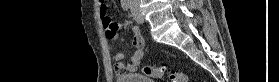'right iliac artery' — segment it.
I'll return each mask as SVG.
<instances>
[{
    "label": "right iliac artery",
    "instance_id": "obj_1",
    "mask_svg": "<svg viewBox=\"0 0 279 82\" xmlns=\"http://www.w3.org/2000/svg\"><path fill=\"white\" fill-rule=\"evenodd\" d=\"M121 6L124 10H128L131 7V0H121Z\"/></svg>",
    "mask_w": 279,
    "mask_h": 82
}]
</instances>
